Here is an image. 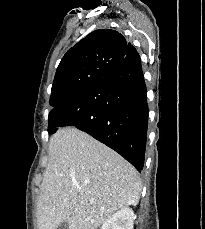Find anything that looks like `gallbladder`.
<instances>
[{"label":"gallbladder","instance_id":"bac80fb5","mask_svg":"<svg viewBox=\"0 0 205 229\" xmlns=\"http://www.w3.org/2000/svg\"><path fill=\"white\" fill-rule=\"evenodd\" d=\"M56 229H68V223L63 222Z\"/></svg>","mask_w":205,"mask_h":229}]
</instances>
